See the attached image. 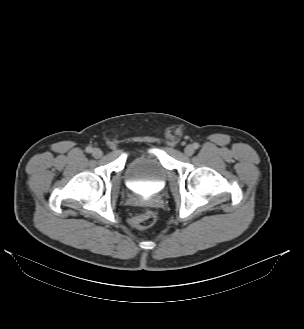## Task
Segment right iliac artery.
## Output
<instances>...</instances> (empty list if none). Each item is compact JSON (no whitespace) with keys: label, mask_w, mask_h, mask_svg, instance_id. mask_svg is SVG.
Wrapping results in <instances>:
<instances>
[{"label":"right iliac artery","mask_w":304,"mask_h":329,"mask_svg":"<svg viewBox=\"0 0 304 329\" xmlns=\"http://www.w3.org/2000/svg\"><path fill=\"white\" fill-rule=\"evenodd\" d=\"M86 152H87V153H91V152H92V147H90V146L87 147V148H86Z\"/></svg>","instance_id":"right-iliac-artery-1"}]
</instances>
